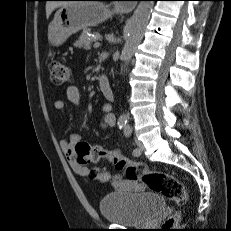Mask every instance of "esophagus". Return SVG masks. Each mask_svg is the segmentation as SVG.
I'll return each mask as SVG.
<instances>
[{
	"instance_id": "esophagus-1",
	"label": "esophagus",
	"mask_w": 231,
	"mask_h": 231,
	"mask_svg": "<svg viewBox=\"0 0 231 231\" xmlns=\"http://www.w3.org/2000/svg\"><path fill=\"white\" fill-rule=\"evenodd\" d=\"M119 6L126 11H132L135 7L134 4H119Z\"/></svg>"
}]
</instances>
